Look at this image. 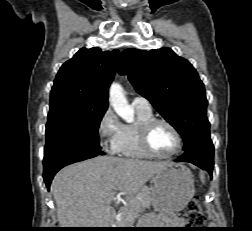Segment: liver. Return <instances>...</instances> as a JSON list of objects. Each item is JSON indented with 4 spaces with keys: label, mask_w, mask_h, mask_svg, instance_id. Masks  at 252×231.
Returning a JSON list of instances; mask_svg holds the SVG:
<instances>
[{
    "label": "liver",
    "mask_w": 252,
    "mask_h": 231,
    "mask_svg": "<svg viewBox=\"0 0 252 231\" xmlns=\"http://www.w3.org/2000/svg\"><path fill=\"white\" fill-rule=\"evenodd\" d=\"M172 164L98 156L63 168L51 184L61 228H110L115 210L106 198L119 192L128 201Z\"/></svg>",
    "instance_id": "1"
}]
</instances>
